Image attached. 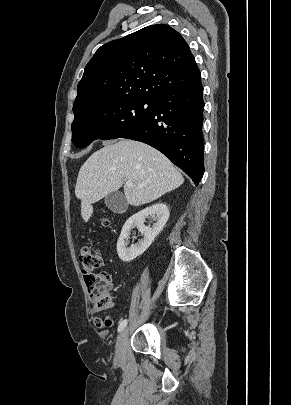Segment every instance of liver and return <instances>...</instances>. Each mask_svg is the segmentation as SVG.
Segmentation results:
<instances>
[{
    "instance_id": "6515ba94",
    "label": "liver",
    "mask_w": 291,
    "mask_h": 405,
    "mask_svg": "<svg viewBox=\"0 0 291 405\" xmlns=\"http://www.w3.org/2000/svg\"><path fill=\"white\" fill-rule=\"evenodd\" d=\"M126 201L133 206L150 203L183 184L184 178L158 150L142 142L119 140L94 152L81 166L75 195L81 201L85 222L93 213L92 204L117 191L125 181Z\"/></svg>"
}]
</instances>
